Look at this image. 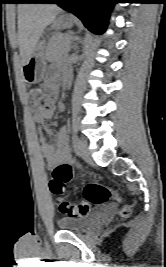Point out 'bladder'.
Segmentation results:
<instances>
[{"label": "bladder", "mask_w": 166, "mask_h": 267, "mask_svg": "<svg viewBox=\"0 0 166 267\" xmlns=\"http://www.w3.org/2000/svg\"><path fill=\"white\" fill-rule=\"evenodd\" d=\"M97 219V215H85L80 217H63L57 222L61 230L82 231L89 228Z\"/></svg>", "instance_id": "31cf9c89"}]
</instances>
